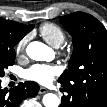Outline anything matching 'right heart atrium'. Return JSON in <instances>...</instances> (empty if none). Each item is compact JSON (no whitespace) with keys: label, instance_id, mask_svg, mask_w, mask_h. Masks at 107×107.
<instances>
[{"label":"right heart atrium","instance_id":"obj_1","mask_svg":"<svg viewBox=\"0 0 107 107\" xmlns=\"http://www.w3.org/2000/svg\"><path fill=\"white\" fill-rule=\"evenodd\" d=\"M29 39L30 35H26L17 43L15 50L18 55L24 54Z\"/></svg>","mask_w":107,"mask_h":107}]
</instances>
